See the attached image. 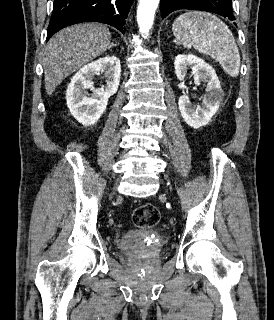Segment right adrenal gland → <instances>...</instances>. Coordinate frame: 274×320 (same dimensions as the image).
<instances>
[{"mask_svg": "<svg viewBox=\"0 0 274 320\" xmlns=\"http://www.w3.org/2000/svg\"><path fill=\"white\" fill-rule=\"evenodd\" d=\"M112 46H117V44H114V40H113V42H112V44H111L110 48H112Z\"/></svg>", "mask_w": 274, "mask_h": 320, "instance_id": "1", "label": "right adrenal gland"}]
</instances>
